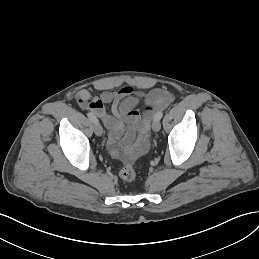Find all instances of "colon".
I'll return each mask as SVG.
<instances>
[{
    "label": "colon",
    "instance_id": "1",
    "mask_svg": "<svg viewBox=\"0 0 259 259\" xmlns=\"http://www.w3.org/2000/svg\"><path fill=\"white\" fill-rule=\"evenodd\" d=\"M119 176L124 181H132L136 177V171L133 165H125L119 172Z\"/></svg>",
    "mask_w": 259,
    "mask_h": 259
}]
</instances>
